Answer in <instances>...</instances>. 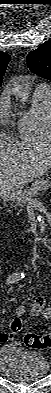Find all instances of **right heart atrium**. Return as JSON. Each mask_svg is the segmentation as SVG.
Here are the masks:
<instances>
[{"mask_svg":"<svg viewBox=\"0 0 51 393\" xmlns=\"http://www.w3.org/2000/svg\"><path fill=\"white\" fill-rule=\"evenodd\" d=\"M11 119V111L7 104L0 108V121L2 124H7Z\"/></svg>","mask_w":51,"mask_h":393,"instance_id":"right-heart-atrium-1","label":"right heart atrium"}]
</instances>
